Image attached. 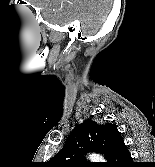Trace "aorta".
<instances>
[{
	"label": "aorta",
	"mask_w": 155,
	"mask_h": 167,
	"mask_svg": "<svg viewBox=\"0 0 155 167\" xmlns=\"http://www.w3.org/2000/svg\"><path fill=\"white\" fill-rule=\"evenodd\" d=\"M89 159L93 162H100L102 160H104L100 155L98 154H92L89 156Z\"/></svg>",
	"instance_id": "obj_1"
}]
</instances>
